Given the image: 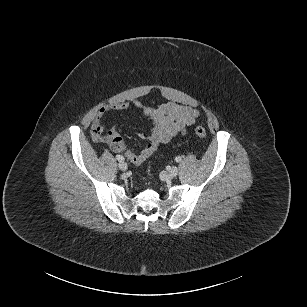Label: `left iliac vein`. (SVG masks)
<instances>
[{
	"mask_svg": "<svg viewBox=\"0 0 307 307\" xmlns=\"http://www.w3.org/2000/svg\"><path fill=\"white\" fill-rule=\"evenodd\" d=\"M178 174V168L176 166L171 167L168 171H167V177L172 179L174 177H176Z\"/></svg>",
	"mask_w": 307,
	"mask_h": 307,
	"instance_id": "left-iliac-vein-1",
	"label": "left iliac vein"
}]
</instances>
